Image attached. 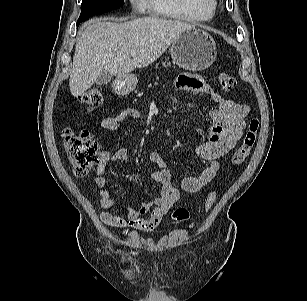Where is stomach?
I'll return each instance as SVG.
<instances>
[{"label": "stomach", "mask_w": 307, "mask_h": 301, "mask_svg": "<svg viewBox=\"0 0 307 301\" xmlns=\"http://www.w3.org/2000/svg\"><path fill=\"white\" fill-rule=\"evenodd\" d=\"M170 52L173 62L180 68L201 71L213 64L217 47L207 31L193 27L179 35L172 43ZM137 82V77L133 74L117 77L113 82V91L119 95H126L135 89Z\"/></svg>", "instance_id": "stomach-1"}]
</instances>
